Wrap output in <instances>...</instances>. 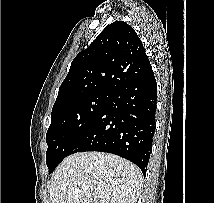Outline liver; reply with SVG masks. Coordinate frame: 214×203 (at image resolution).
Returning <instances> with one entry per match:
<instances>
[{"instance_id": "liver-1", "label": "liver", "mask_w": 214, "mask_h": 203, "mask_svg": "<svg viewBox=\"0 0 214 203\" xmlns=\"http://www.w3.org/2000/svg\"><path fill=\"white\" fill-rule=\"evenodd\" d=\"M142 183L141 170L124 158L79 152L58 166L49 193L51 203H136Z\"/></svg>"}]
</instances>
